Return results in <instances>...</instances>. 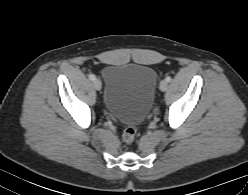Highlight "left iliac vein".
I'll return each instance as SVG.
<instances>
[{"instance_id": "left-iliac-vein-1", "label": "left iliac vein", "mask_w": 248, "mask_h": 195, "mask_svg": "<svg viewBox=\"0 0 248 195\" xmlns=\"http://www.w3.org/2000/svg\"><path fill=\"white\" fill-rule=\"evenodd\" d=\"M159 87H160V90H161V91H166L167 88H168V82H167L166 80H162V81L160 82Z\"/></svg>"}]
</instances>
